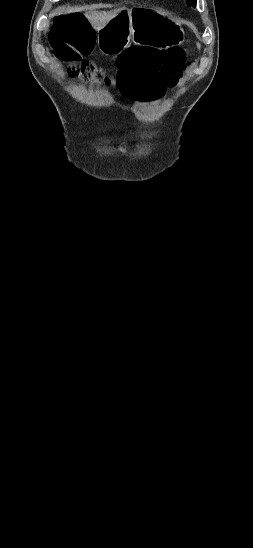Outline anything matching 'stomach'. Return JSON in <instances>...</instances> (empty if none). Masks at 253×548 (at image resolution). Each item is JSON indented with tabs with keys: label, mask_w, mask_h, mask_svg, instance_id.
<instances>
[{
	"label": "stomach",
	"mask_w": 253,
	"mask_h": 548,
	"mask_svg": "<svg viewBox=\"0 0 253 548\" xmlns=\"http://www.w3.org/2000/svg\"><path fill=\"white\" fill-rule=\"evenodd\" d=\"M183 30L178 23L158 13L134 9L123 10L98 30L99 50L105 55H118L135 44L175 45L181 42Z\"/></svg>",
	"instance_id": "obj_1"
}]
</instances>
